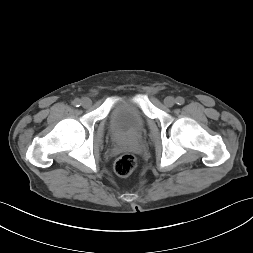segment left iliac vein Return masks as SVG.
Instances as JSON below:
<instances>
[{"mask_svg": "<svg viewBox=\"0 0 253 253\" xmlns=\"http://www.w3.org/2000/svg\"><path fill=\"white\" fill-rule=\"evenodd\" d=\"M176 100L174 99V97L172 96H168L164 99V104L167 106V107H172L174 106Z\"/></svg>", "mask_w": 253, "mask_h": 253, "instance_id": "obj_1", "label": "left iliac vein"}]
</instances>
